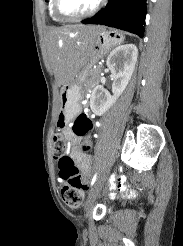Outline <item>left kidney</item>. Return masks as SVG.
<instances>
[{"label":"left kidney","mask_w":183,"mask_h":246,"mask_svg":"<svg viewBox=\"0 0 183 246\" xmlns=\"http://www.w3.org/2000/svg\"><path fill=\"white\" fill-rule=\"evenodd\" d=\"M138 49L134 44L120 45L107 57L106 65L110 69L113 83L111 95L102 85H97L90 98V108L96 115H103L127 87L137 61Z\"/></svg>","instance_id":"obj_1"}]
</instances>
